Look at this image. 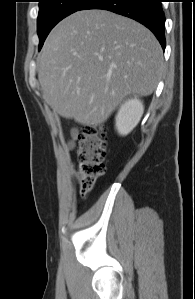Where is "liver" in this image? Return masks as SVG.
I'll use <instances>...</instances> for the list:
<instances>
[{
  "label": "liver",
  "instance_id": "obj_1",
  "mask_svg": "<svg viewBox=\"0 0 195 299\" xmlns=\"http://www.w3.org/2000/svg\"><path fill=\"white\" fill-rule=\"evenodd\" d=\"M162 70L161 46L146 27L109 11L84 10L48 35L38 80L60 116L98 126L127 96L152 94Z\"/></svg>",
  "mask_w": 195,
  "mask_h": 299
}]
</instances>
